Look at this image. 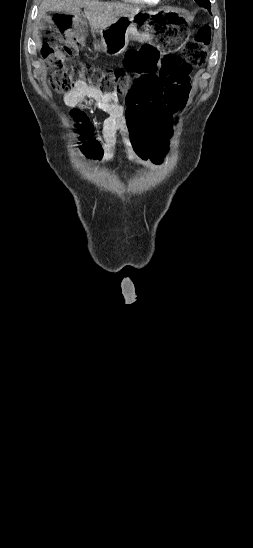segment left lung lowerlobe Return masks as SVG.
I'll return each instance as SVG.
<instances>
[{"label":"left lung lower lobe","instance_id":"0a47b994","mask_svg":"<svg viewBox=\"0 0 253 548\" xmlns=\"http://www.w3.org/2000/svg\"><path fill=\"white\" fill-rule=\"evenodd\" d=\"M196 3H198L200 6L207 8L208 10L211 9L209 0H204V1L197 0Z\"/></svg>","mask_w":253,"mask_h":548}]
</instances>
